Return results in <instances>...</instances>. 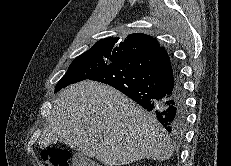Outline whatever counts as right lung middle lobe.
Listing matches in <instances>:
<instances>
[{"label":"right lung middle lobe","instance_id":"right-lung-middle-lobe-1","mask_svg":"<svg viewBox=\"0 0 231 166\" xmlns=\"http://www.w3.org/2000/svg\"><path fill=\"white\" fill-rule=\"evenodd\" d=\"M118 60L116 56L91 50L81 54L71 63L65 75L59 80L55 92L70 84L88 79Z\"/></svg>","mask_w":231,"mask_h":166}]
</instances>
